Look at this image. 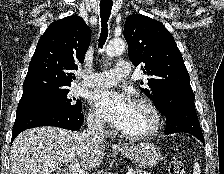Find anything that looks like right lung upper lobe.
<instances>
[{
  "instance_id": "cb5924a9",
  "label": "right lung upper lobe",
  "mask_w": 224,
  "mask_h": 174,
  "mask_svg": "<svg viewBox=\"0 0 224 174\" xmlns=\"http://www.w3.org/2000/svg\"><path fill=\"white\" fill-rule=\"evenodd\" d=\"M91 31L80 16L51 23L40 38L23 83V94L47 87H70L83 63ZM22 94V95H23Z\"/></svg>"
}]
</instances>
